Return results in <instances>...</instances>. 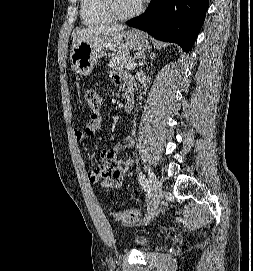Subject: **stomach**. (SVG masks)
Instances as JSON below:
<instances>
[{
    "label": "stomach",
    "instance_id": "obj_1",
    "mask_svg": "<svg viewBox=\"0 0 253 271\" xmlns=\"http://www.w3.org/2000/svg\"><path fill=\"white\" fill-rule=\"evenodd\" d=\"M148 47L145 35L138 30L111 32L89 36L78 41L70 55L75 73L85 76L92 72L98 58L105 51L128 52Z\"/></svg>",
    "mask_w": 253,
    "mask_h": 271
}]
</instances>
